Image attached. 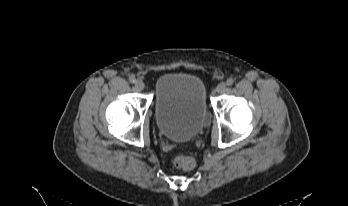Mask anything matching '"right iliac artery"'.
<instances>
[{
	"instance_id": "right-iliac-artery-1",
	"label": "right iliac artery",
	"mask_w": 348,
	"mask_h": 206,
	"mask_svg": "<svg viewBox=\"0 0 348 206\" xmlns=\"http://www.w3.org/2000/svg\"><path fill=\"white\" fill-rule=\"evenodd\" d=\"M129 81L131 82V83H135L136 82V78H135V76H130L129 77Z\"/></svg>"
}]
</instances>
